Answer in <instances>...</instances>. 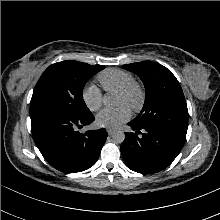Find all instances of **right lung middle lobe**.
Here are the masks:
<instances>
[{"label": "right lung middle lobe", "mask_w": 220, "mask_h": 220, "mask_svg": "<svg viewBox=\"0 0 220 220\" xmlns=\"http://www.w3.org/2000/svg\"><path fill=\"white\" fill-rule=\"evenodd\" d=\"M104 68L70 60L50 65L35 86L30 106L47 105L77 116L90 113L82 90L89 78Z\"/></svg>", "instance_id": "right-lung-middle-lobe-1"}]
</instances>
